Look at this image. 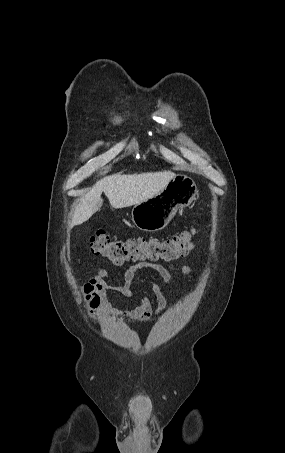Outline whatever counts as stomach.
<instances>
[{"instance_id":"stomach-1","label":"stomach","mask_w":285,"mask_h":453,"mask_svg":"<svg viewBox=\"0 0 285 453\" xmlns=\"http://www.w3.org/2000/svg\"><path fill=\"white\" fill-rule=\"evenodd\" d=\"M196 193V184L190 177L176 175L162 191L133 207L132 221L143 231L162 230L179 209L193 202Z\"/></svg>"}]
</instances>
